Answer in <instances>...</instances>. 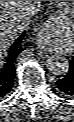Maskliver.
I'll return each instance as SVG.
<instances>
[{"label": "liver", "instance_id": "obj_1", "mask_svg": "<svg viewBox=\"0 0 74 122\" xmlns=\"http://www.w3.org/2000/svg\"><path fill=\"white\" fill-rule=\"evenodd\" d=\"M41 1H0V59L1 64L7 56V50L19 34L22 17L31 8L39 6Z\"/></svg>", "mask_w": 74, "mask_h": 122}]
</instances>
